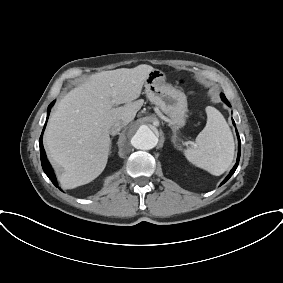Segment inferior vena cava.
Segmentation results:
<instances>
[{
  "label": "inferior vena cava",
  "instance_id": "inferior-vena-cava-1",
  "mask_svg": "<svg viewBox=\"0 0 283 283\" xmlns=\"http://www.w3.org/2000/svg\"><path fill=\"white\" fill-rule=\"evenodd\" d=\"M125 123L122 121H116L115 123L112 124V126L109 129V133L111 135H116L119 133V131L124 127Z\"/></svg>",
  "mask_w": 283,
  "mask_h": 283
}]
</instances>
